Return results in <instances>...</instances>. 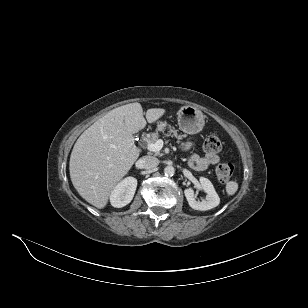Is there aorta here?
I'll return each instance as SVG.
<instances>
[{"label":"aorta","mask_w":308,"mask_h":308,"mask_svg":"<svg viewBox=\"0 0 308 308\" xmlns=\"http://www.w3.org/2000/svg\"><path fill=\"white\" fill-rule=\"evenodd\" d=\"M175 173V169L173 166H166L164 168V174L165 176H173Z\"/></svg>","instance_id":"aorta-1"}]
</instances>
